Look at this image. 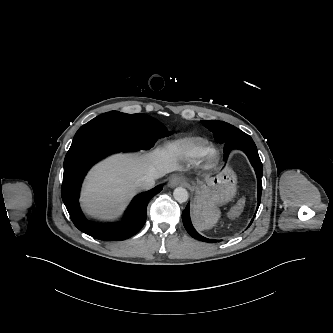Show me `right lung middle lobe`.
I'll return each mask as SVG.
<instances>
[{
  "label": "right lung middle lobe",
  "mask_w": 333,
  "mask_h": 333,
  "mask_svg": "<svg viewBox=\"0 0 333 333\" xmlns=\"http://www.w3.org/2000/svg\"><path fill=\"white\" fill-rule=\"evenodd\" d=\"M92 133L114 136L137 149H150L159 138L169 136L173 131H168L160 122L146 114L110 111L83 125L73 140Z\"/></svg>",
  "instance_id": "1"
}]
</instances>
